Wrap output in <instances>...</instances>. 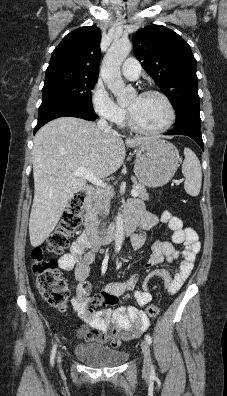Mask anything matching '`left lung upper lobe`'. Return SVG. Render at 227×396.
<instances>
[{"instance_id":"left-lung-upper-lobe-1","label":"left lung upper lobe","mask_w":227,"mask_h":396,"mask_svg":"<svg viewBox=\"0 0 227 396\" xmlns=\"http://www.w3.org/2000/svg\"><path fill=\"white\" fill-rule=\"evenodd\" d=\"M134 53L177 110L183 103L199 101L196 60L190 46L177 33L151 25L133 37Z\"/></svg>"}]
</instances>
